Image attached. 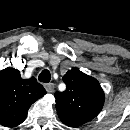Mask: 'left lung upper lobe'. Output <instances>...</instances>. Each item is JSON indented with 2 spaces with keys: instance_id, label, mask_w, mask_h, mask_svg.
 <instances>
[{
  "instance_id": "5c2ea615",
  "label": "left lung upper lobe",
  "mask_w": 130,
  "mask_h": 130,
  "mask_svg": "<svg viewBox=\"0 0 130 130\" xmlns=\"http://www.w3.org/2000/svg\"><path fill=\"white\" fill-rule=\"evenodd\" d=\"M62 79L66 90L54 95L58 116L82 123L95 118L105 100L99 82L77 68L69 70Z\"/></svg>"
}]
</instances>
